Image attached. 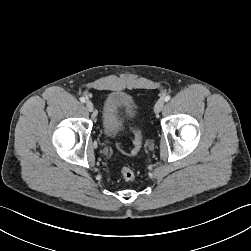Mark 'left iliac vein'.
<instances>
[{
  "mask_svg": "<svg viewBox=\"0 0 251 251\" xmlns=\"http://www.w3.org/2000/svg\"><path fill=\"white\" fill-rule=\"evenodd\" d=\"M164 104L165 101L163 99H159L154 106V112L159 113L160 111H162Z\"/></svg>",
  "mask_w": 251,
  "mask_h": 251,
  "instance_id": "left-iliac-vein-1",
  "label": "left iliac vein"
}]
</instances>
